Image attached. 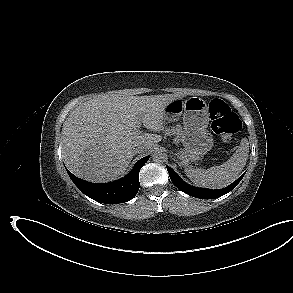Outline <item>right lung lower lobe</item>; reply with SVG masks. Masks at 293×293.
Returning a JSON list of instances; mask_svg holds the SVG:
<instances>
[{
    "label": "right lung lower lobe",
    "mask_w": 293,
    "mask_h": 293,
    "mask_svg": "<svg viewBox=\"0 0 293 293\" xmlns=\"http://www.w3.org/2000/svg\"><path fill=\"white\" fill-rule=\"evenodd\" d=\"M148 159L149 156L143 157L136 162L129 174L111 183H90L77 178L69 170L67 172L74 184L91 199L105 204L124 203L137 194L140 187L139 171Z\"/></svg>",
    "instance_id": "obj_1"
}]
</instances>
